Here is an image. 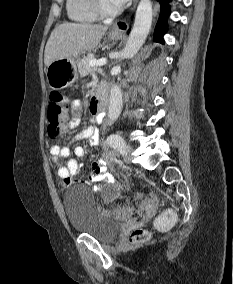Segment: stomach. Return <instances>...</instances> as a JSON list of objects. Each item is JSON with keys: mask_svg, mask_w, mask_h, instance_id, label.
Listing matches in <instances>:
<instances>
[{"mask_svg": "<svg viewBox=\"0 0 233 284\" xmlns=\"http://www.w3.org/2000/svg\"><path fill=\"white\" fill-rule=\"evenodd\" d=\"M108 37L112 40H119L122 36L118 33L110 32ZM83 53L80 52L67 58L57 59L47 67L46 78L50 88H65L77 80L76 62Z\"/></svg>", "mask_w": 233, "mask_h": 284, "instance_id": "obj_1", "label": "stomach"}]
</instances>
